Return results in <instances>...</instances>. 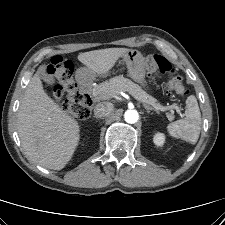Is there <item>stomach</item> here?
I'll use <instances>...</instances> for the list:
<instances>
[{
    "label": "stomach",
    "mask_w": 225,
    "mask_h": 225,
    "mask_svg": "<svg viewBox=\"0 0 225 225\" xmlns=\"http://www.w3.org/2000/svg\"><path fill=\"white\" fill-rule=\"evenodd\" d=\"M123 61L127 66L129 76L141 86L148 88L146 76V61L143 55L138 50H128L123 56ZM87 75L93 76V73L90 69H84Z\"/></svg>",
    "instance_id": "stomach-1"
}]
</instances>
